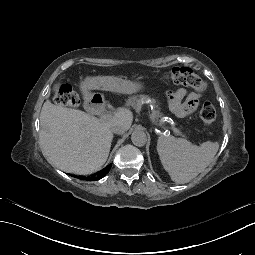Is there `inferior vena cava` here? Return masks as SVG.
<instances>
[{"label":"inferior vena cava","instance_id":"inferior-vena-cava-1","mask_svg":"<svg viewBox=\"0 0 255 255\" xmlns=\"http://www.w3.org/2000/svg\"><path fill=\"white\" fill-rule=\"evenodd\" d=\"M111 131L115 134H124L126 132V126L122 123H117L111 126Z\"/></svg>","mask_w":255,"mask_h":255}]
</instances>
